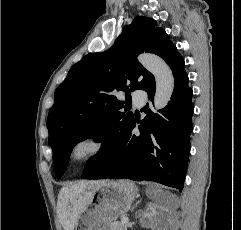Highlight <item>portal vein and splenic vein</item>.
<instances>
[{
  "label": "portal vein and splenic vein",
  "instance_id": "portal-vein-and-splenic-vein-1",
  "mask_svg": "<svg viewBox=\"0 0 241 230\" xmlns=\"http://www.w3.org/2000/svg\"><path fill=\"white\" fill-rule=\"evenodd\" d=\"M121 222L124 223V224H127L129 222V219L127 217H123L121 219Z\"/></svg>",
  "mask_w": 241,
  "mask_h": 230
}]
</instances>
